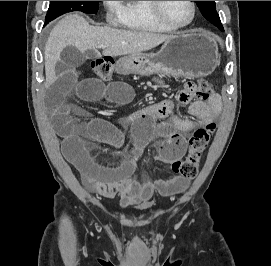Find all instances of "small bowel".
I'll return each instance as SVG.
<instances>
[{
    "mask_svg": "<svg viewBox=\"0 0 271 266\" xmlns=\"http://www.w3.org/2000/svg\"><path fill=\"white\" fill-rule=\"evenodd\" d=\"M81 75L80 61L70 57H63L49 67L47 76L51 85L46 105L54 128L62 138V152L78 169L84 185L104 197H118L122 207L147 204L156 191L170 195L186 189L189 180L178 176L154 181L133 179L136 162L143 148L155 138H161L157 145L160 161L166 163L180 159L186 150V134L199 126L213 123L219 115L222 107L220 97L213 95L208 102H191L192 98L179 99L177 96L179 107L189 105V116L176 108L173 100L166 99L117 122L95 118L75 123L67 101L71 94L88 101L105 100L116 105H125L133 97L131 86L125 82L105 83L94 78H81ZM125 124L132 127L136 141L132 156L123 160L101 161L90 153L86 139L121 147L124 142L121 126Z\"/></svg>",
    "mask_w": 271,
    "mask_h": 266,
    "instance_id": "c3829d8e",
    "label": "small bowel"
}]
</instances>
